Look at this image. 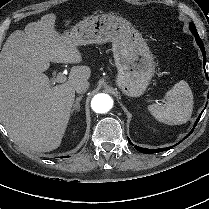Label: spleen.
Returning a JSON list of instances; mask_svg holds the SVG:
<instances>
[{
  "instance_id": "1",
  "label": "spleen",
  "mask_w": 209,
  "mask_h": 209,
  "mask_svg": "<svg viewBox=\"0 0 209 209\" xmlns=\"http://www.w3.org/2000/svg\"><path fill=\"white\" fill-rule=\"evenodd\" d=\"M166 102L148 106V110L159 122L180 125L190 120L193 112V94L186 81L176 83L165 94Z\"/></svg>"
}]
</instances>
